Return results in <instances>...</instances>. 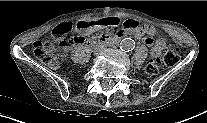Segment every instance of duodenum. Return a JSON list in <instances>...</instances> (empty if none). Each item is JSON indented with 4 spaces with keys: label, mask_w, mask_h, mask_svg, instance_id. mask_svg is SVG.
Returning <instances> with one entry per match:
<instances>
[{
    "label": "duodenum",
    "mask_w": 207,
    "mask_h": 123,
    "mask_svg": "<svg viewBox=\"0 0 207 123\" xmlns=\"http://www.w3.org/2000/svg\"><path fill=\"white\" fill-rule=\"evenodd\" d=\"M122 38H123L122 36L114 37V38H107V39H104L102 37L100 41H96V40L90 39V40H88L85 43V47L86 48H92V47H94L99 42L103 43V44H107V45L115 44V43L119 42Z\"/></svg>",
    "instance_id": "obj_1"
}]
</instances>
